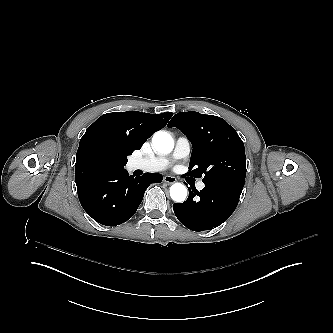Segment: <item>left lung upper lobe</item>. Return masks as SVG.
I'll list each match as a JSON object with an SVG mask.
<instances>
[{
    "label": "left lung upper lobe",
    "mask_w": 333,
    "mask_h": 333,
    "mask_svg": "<svg viewBox=\"0 0 333 333\" xmlns=\"http://www.w3.org/2000/svg\"><path fill=\"white\" fill-rule=\"evenodd\" d=\"M192 143L189 172L204 176L203 182H228L244 186L246 155L244 144L235 129L224 119L198 112L177 113L169 122Z\"/></svg>",
    "instance_id": "obj_1"
}]
</instances>
